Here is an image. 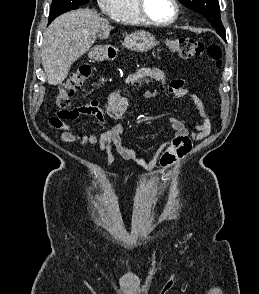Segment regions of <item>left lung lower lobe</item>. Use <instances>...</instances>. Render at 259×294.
<instances>
[{"instance_id":"1","label":"left lung lower lobe","mask_w":259,"mask_h":294,"mask_svg":"<svg viewBox=\"0 0 259 294\" xmlns=\"http://www.w3.org/2000/svg\"><path fill=\"white\" fill-rule=\"evenodd\" d=\"M222 38H223L224 40H226V37H225V36H223Z\"/></svg>"}]
</instances>
